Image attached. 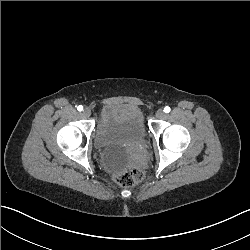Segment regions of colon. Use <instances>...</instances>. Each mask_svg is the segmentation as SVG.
Segmentation results:
<instances>
[{"mask_svg":"<svg viewBox=\"0 0 250 250\" xmlns=\"http://www.w3.org/2000/svg\"><path fill=\"white\" fill-rule=\"evenodd\" d=\"M114 175L117 184L124 189L142 185L147 178L146 172L139 167L116 171Z\"/></svg>","mask_w":250,"mask_h":250,"instance_id":"5ec220e1","label":"colon"}]
</instances>
